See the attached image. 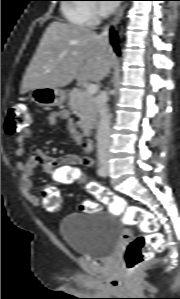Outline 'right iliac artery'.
I'll list each match as a JSON object with an SVG mask.
<instances>
[{
  "label": "right iliac artery",
  "mask_w": 180,
  "mask_h": 299,
  "mask_svg": "<svg viewBox=\"0 0 180 299\" xmlns=\"http://www.w3.org/2000/svg\"><path fill=\"white\" fill-rule=\"evenodd\" d=\"M97 173L99 176H105V168L103 166H100L97 170Z\"/></svg>",
  "instance_id": "1"
}]
</instances>
